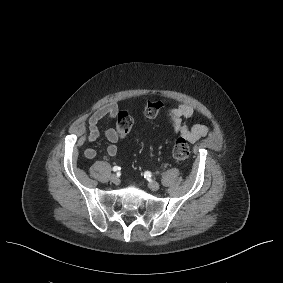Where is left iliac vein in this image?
<instances>
[{
  "mask_svg": "<svg viewBox=\"0 0 283 283\" xmlns=\"http://www.w3.org/2000/svg\"><path fill=\"white\" fill-rule=\"evenodd\" d=\"M148 186L153 191H157L159 189V187H160L159 183H157L156 181H150L148 183Z\"/></svg>",
  "mask_w": 283,
  "mask_h": 283,
  "instance_id": "1",
  "label": "left iliac vein"
}]
</instances>
